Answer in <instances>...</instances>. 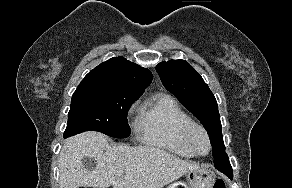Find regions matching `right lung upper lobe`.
<instances>
[{
  "label": "right lung upper lobe",
  "instance_id": "right-lung-upper-lobe-1",
  "mask_svg": "<svg viewBox=\"0 0 292 188\" xmlns=\"http://www.w3.org/2000/svg\"><path fill=\"white\" fill-rule=\"evenodd\" d=\"M152 73L124 57L111 58L91 70L79 85L95 84L142 95Z\"/></svg>",
  "mask_w": 292,
  "mask_h": 188
}]
</instances>
